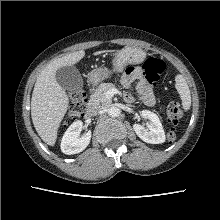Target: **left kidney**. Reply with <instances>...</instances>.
Returning <instances> with one entry per match:
<instances>
[{"label":"left kidney","mask_w":220,"mask_h":220,"mask_svg":"<svg viewBox=\"0 0 220 220\" xmlns=\"http://www.w3.org/2000/svg\"><path fill=\"white\" fill-rule=\"evenodd\" d=\"M142 117L148 120L149 122L147 123V128L140 124L133 125V129L137 136L146 143H164L166 137L159 117L155 113L148 110L142 111Z\"/></svg>","instance_id":"5707ae66"}]
</instances>
